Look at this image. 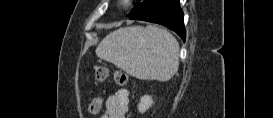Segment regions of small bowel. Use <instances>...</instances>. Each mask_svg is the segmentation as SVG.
Segmentation results:
<instances>
[{
    "mask_svg": "<svg viewBox=\"0 0 273 118\" xmlns=\"http://www.w3.org/2000/svg\"><path fill=\"white\" fill-rule=\"evenodd\" d=\"M129 105V92L119 89L111 94L105 102L104 118H125Z\"/></svg>",
    "mask_w": 273,
    "mask_h": 118,
    "instance_id": "small-bowel-1",
    "label": "small bowel"
}]
</instances>
